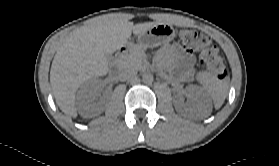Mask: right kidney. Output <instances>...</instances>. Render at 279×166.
I'll return each mask as SVG.
<instances>
[{
    "instance_id": "obj_1",
    "label": "right kidney",
    "mask_w": 279,
    "mask_h": 166,
    "mask_svg": "<svg viewBox=\"0 0 279 166\" xmlns=\"http://www.w3.org/2000/svg\"><path fill=\"white\" fill-rule=\"evenodd\" d=\"M101 87V82L90 81L88 82L84 92L80 93L78 96L79 105L82 110H85L90 105H92L98 95V89Z\"/></svg>"
}]
</instances>
